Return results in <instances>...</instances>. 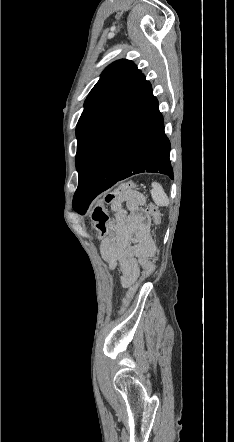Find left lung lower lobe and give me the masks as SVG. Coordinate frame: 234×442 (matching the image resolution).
I'll use <instances>...</instances> for the list:
<instances>
[{
    "mask_svg": "<svg viewBox=\"0 0 234 442\" xmlns=\"http://www.w3.org/2000/svg\"><path fill=\"white\" fill-rule=\"evenodd\" d=\"M169 153L158 101L141 74L88 140L73 209L83 214L98 194L133 174L147 171L173 179Z\"/></svg>",
    "mask_w": 234,
    "mask_h": 442,
    "instance_id": "1",
    "label": "left lung lower lobe"
}]
</instances>
